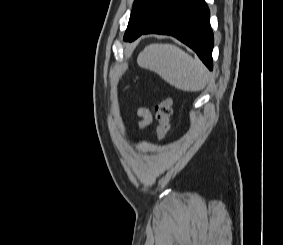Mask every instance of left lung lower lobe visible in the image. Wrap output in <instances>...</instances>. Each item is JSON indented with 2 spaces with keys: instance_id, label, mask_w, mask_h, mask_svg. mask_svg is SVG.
<instances>
[{
  "instance_id": "obj_1",
  "label": "left lung lower lobe",
  "mask_w": 283,
  "mask_h": 245,
  "mask_svg": "<svg viewBox=\"0 0 283 245\" xmlns=\"http://www.w3.org/2000/svg\"><path fill=\"white\" fill-rule=\"evenodd\" d=\"M209 17L210 12L204 0H174L136 38L148 33L174 36L192 48L204 64L212 70L214 38Z\"/></svg>"
}]
</instances>
